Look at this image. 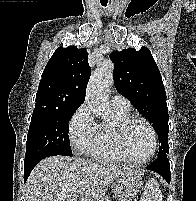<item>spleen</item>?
Here are the masks:
<instances>
[{
	"instance_id": "obj_1",
	"label": "spleen",
	"mask_w": 196,
	"mask_h": 201,
	"mask_svg": "<svg viewBox=\"0 0 196 201\" xmlns=\"http://www.w3.org/2000/svg\"><path fill=\"white\" fill-rule=\"evenodd\" d=\"M162 193L159 184L151 179L147 182L141 201H162Z\"/></svg>"
}]
</instances>
